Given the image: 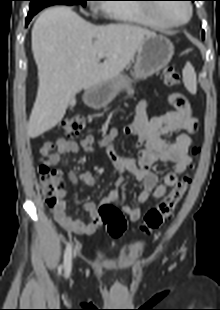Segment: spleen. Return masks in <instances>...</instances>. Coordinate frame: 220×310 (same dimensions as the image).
Returning <instances> with one entry per match:
<instances>
[{"label": "spleen", "mask_w": 220, "mask_h": 310, "mask_svg": "<svg viewBox=\"0 0 220 310\" xmlns=\"http://www.w3.org/2000/svg\"><path fill=\"white\" fill-rule=\"evenodd\" d=\"M183 81L190 93L195 94L197 92L196 73L190 63H187L183 69Z\"/></svg>", "instance_id": "spleen-1"}]
</instances>
